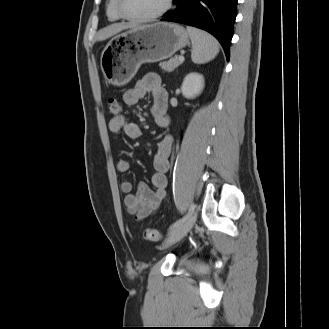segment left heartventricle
Wrapping results in <instances>:
<instances>
[{
	"label": "left heart ventricle",
	"instance_id": "b2bd125f",
	"mask_svg": "<svg viewBox=\"0 0 329 329\" xmlns=\"http://www.w3.org/2000/svg\"><path fill=\"white\" fill-rule=\"evenodd\" d=\"M166 0H122L123 8L127 14L147 16L158 12Z\"/></svg>",
	"mask_w": 329,
	"mask_h": 329
}]
</instances>
